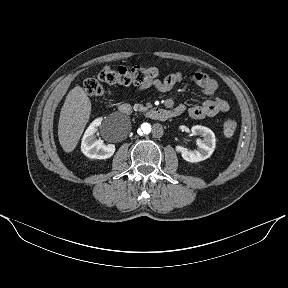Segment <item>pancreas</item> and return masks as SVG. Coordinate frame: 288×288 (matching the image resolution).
<instances>
[{
	"mask_svg": "<svg viewBox=\"0 0 288 288\" xmlns=\"http://www.w3.org/2000/svg\"><path fill=\"white\" fill-rule=\"evenodd\" d=\"M134 110L142 112V111H146L147 107H145L143 104H135L134 105Z\"/></svg>",
	"mask_w": 288,
	"mask_h": 288,
	"instance_id": "pancreas-1",
	"label": "pancreas"
}]
</instances>
